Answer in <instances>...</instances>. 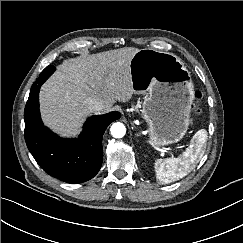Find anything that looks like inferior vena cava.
<instances>
[{
	"mask_svg": "<svg viewBox=\"0 0 243 243\" xmlns=\"http://www.w3.org/2000/svg\"><path fill=\"white\" fill-rule=\"evenodd\" d=\"M85 103L88 106L90 112H95V113L103 111L106 107V105L102 101L92 97L87 98L85 100Z\"/></svg>",
	"mask_w": 243,
	"mask_h": 243,
	"instance_id": "1",
	"label": "inferior vena cava"
}]
</instances>
